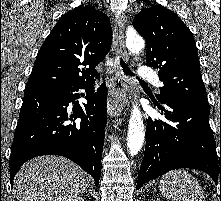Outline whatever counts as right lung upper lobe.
<instances>
[{"instance_id": "right-lung-upper-lobe-1", "label": "right lung upper lobe", "mask_w": 221, "mask_h": 201, "mask_svg": "<svg viewBox=\"0 0 221 201\" xmlns=\"http://www.w3.org/2000/svg\"><path fill=\"white\" fill-rule=\"evenodd\" d=\"M109 18L94 7H77L58 20L40 48L26 88H53L94 80L110 50Z\"/></svg>"}]
</instances>
